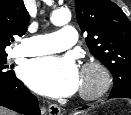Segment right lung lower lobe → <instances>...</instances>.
I'll return each mask as SVG.
<instances>
[{
	"label": "right lung lower lobe",
	"instance_id": "right-lung-lower-lobe-1",
	"mask_svg": "<svg viewBox=\"0 0 131 115\" xmlns=\"http://www.w3.org/2000/svg\"><path fill=\"white\" fill-rule=\"evenodd\" d=\"M0 105L25 115H41L37 98L16 76L0 81Z\"/></svg>",
	"mask_w": 131,
	"mask_h": 115
}]
</instances>
